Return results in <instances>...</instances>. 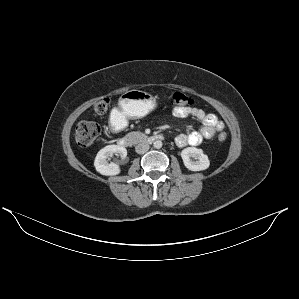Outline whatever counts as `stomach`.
I'll return each mask as SVG.
<instances>
[{
	"mask_svg": "<svg viewBox=\"0 0 299 299\" xmlns=\"http://www.w3.org/2000/svg\"><path fill=\"white\" fill-rule=\"evenodd\" d=\"M119 110L125 117L142 118L157 106L156 97L139 90L123 93L118 102Z\"/></svg>",
	"mask_w": 299,
	"mask_h": 299,
	"instance_id": "0dacf381",
	"label": "stomach"
}]
</instances>
